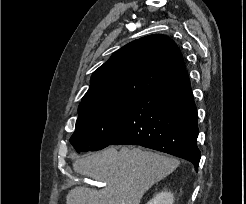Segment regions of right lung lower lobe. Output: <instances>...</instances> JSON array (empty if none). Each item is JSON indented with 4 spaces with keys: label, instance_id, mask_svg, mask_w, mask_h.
<instances>
[{
    "label": "right lung lower lobe",
    "instance_id": "obj_1",
    "mask_svg": "<svg viewBox=\"0 0 246 204\" xmlns=\"http://www.w3.org/2000/svg\"><path fill=\"white\" fill-rule=\"evenodd\" d=\"M197 110L187 72L138 96L110 145H141L190 161L196 171Z\"/></svg>",
    "mask_w": 246,
    "mask_h": 204
}]
</instances>
